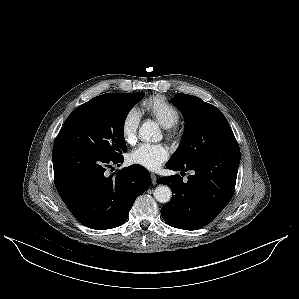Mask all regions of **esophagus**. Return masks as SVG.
<instances>
[{
    "label": "esophagus",
    "mask_w": 299,
    "mask_h": 299,
    "mask_svg": "<svg viewBox=\"0 0 299 299\" xmlns=\"http://www.w3.org/2000/svg\"><path fill=\"white\" fill-rule=\"evenodd\" d=\"M152 184H156L157 176L154 173H151Z\"/></svg>",
    "instance_id": "esophagus-1"
}]
</instances>
